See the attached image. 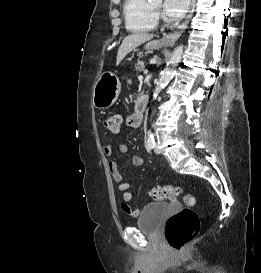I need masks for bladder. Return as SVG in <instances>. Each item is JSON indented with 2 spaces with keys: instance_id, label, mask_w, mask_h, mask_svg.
I'll return each mask as SVG.
<instances>
[{
  "instance_id": "bladder-1",
  "label": "bladder",
  "mask_w": 261,
  "mask_h": 273,
  "mask_svg": "<svg viewBox=\"0 0 261 273\" xmlns=\"http://www.w3.org/2000/svg\"><path fill=\"white\" fill-rule=\"evenodd\" d=\"M169 208V204L165 202L145 205L137 219V227L146 234H157L168 214Z\"/></svg>"
}]
</instances>
